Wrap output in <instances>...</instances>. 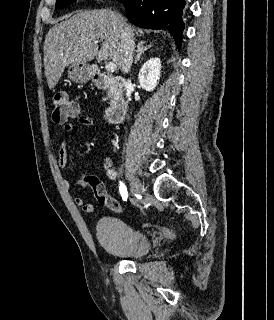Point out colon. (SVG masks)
<instances>
[{
	"instance_id": "5ec220e1",
	"label": "colon",
	"mask_w": 274,
	"mask_h": 320,
	"mask_svg": "<svg viewBox=\"0 0 274 320\" xmlns=\"http://www.w3.org/2000/svg\"><path fill=\"white\" fill-rule=\"evenodd\" d=\"M52 105L53 121L57 124H64L67 127H71L72 122L78 117L77 103L68 97L66 91L59 90L52 96ZM82 175L84 185L89 186L94 193H99V201L103 206L116 213H122L124 211V207L106 193V186H104L103 182L97 181L96 175H89L88 169H83Z\"/></svg>"
}]
</instances>
